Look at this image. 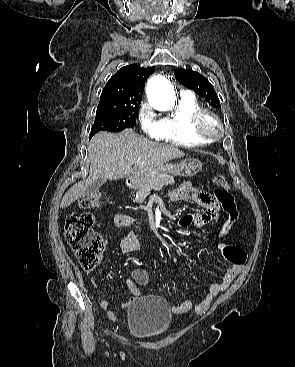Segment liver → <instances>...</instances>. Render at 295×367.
I'll return each instance as SVG.
<instances>
[{"label": "liver", "instance_id": "1", "mask_svg": "<svg viewBox=\"0 0 295 367\" xmlns=\"http://www.w3.org/2000/svg\"><path fill=\"white\" fill-rule=\"evenodd\" d=\"M184 156V152L176 146L150 141L132 129L119 134L101 131L93 136L88 145L90 169L87 179L74 184L66 192L61 207L75 202L98 179L118 180L130 175L137 177Z\"/></svg>", "mask_w": 295, "mask_h": 367}]
</instances>
